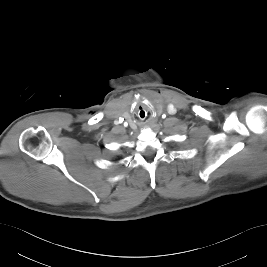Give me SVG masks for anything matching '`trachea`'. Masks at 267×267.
<instances>
[{"label":"trachea","mask_w":267,"mask_h":267,"mask_svg":"<svg viewBox=\"0 0 267 267\" xmlns=\"http://www.w3.org/2000/svg\"><path fill=\"white\" fill-rule=\"evenodd\" d=\"M137 116L140 120H145L146 119V113H145V110H140L138 113H137Z\"/></svg>","instance_id":"3493384b"}]
</instances>
